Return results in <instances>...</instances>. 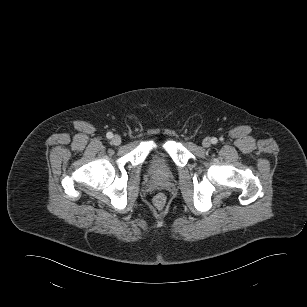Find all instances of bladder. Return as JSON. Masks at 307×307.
<instances>
[{
    "label": "bladder",
    "instance_id": "31cf9c89",
    "mask_svg": "<svg viewBox=\"0 0 307 307\" xmlns=\"http://www.w3.org/2000/svg\"><path fill=\"white\" fill-rule=\"evenodd\" d=\"M150 171L154 176H165L167 174V169L164 160L160 157H154L150 164Z\"/></svg>",
    "mask_w": 307,
    "mask_h": 307
}]
</instances>
